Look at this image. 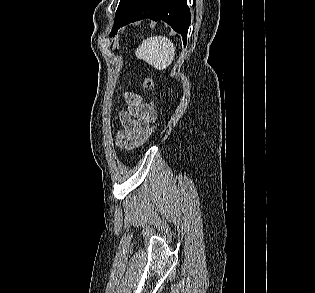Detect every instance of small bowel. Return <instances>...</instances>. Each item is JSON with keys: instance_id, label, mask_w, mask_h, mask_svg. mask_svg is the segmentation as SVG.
I'll return each instance as SVG.
<instances>
[{"instance_id": "c3829d8e", "label": "small bowel", "mask_w": 315, "mask_h": 293, "mask_svg": "<svg viewBox=\"0 0 315 293\" xmlns=\"http://www.w3.org/2000/svg\"><path fill=\"white\" fill-rule=\"evenodd\" d=\"M129 104L127 111H122L119 118L123 128L118 131L116 144L122 149H132L143 142L144 134L150 127V120L156 119V113L134 94H126Z\"/></svg>"}]
</instances>
